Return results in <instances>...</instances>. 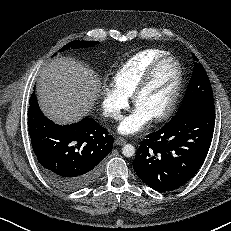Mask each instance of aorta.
<instances>
[{
  "mask_svg": "<svg viewBox=\"0 0 231 231\" xmlns=\"http://www.w3.org/2000/svg\"><path fill=\"white\" fill-rule=\"evenodd\" d=\"M122 153L125 157H132L135 154V147L131 144H126L122 148Z\"/></svg>",
  "mask_w": 231,
  "mask_h": 231,
  "instance_id": "obj_1",
  "label": "aorta"
}]
</instances>
